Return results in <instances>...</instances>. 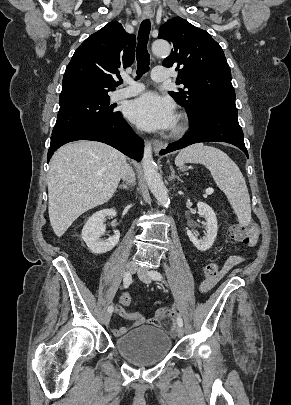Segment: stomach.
Returning a JSON list of instances; mask_svg holds the SVG:
<instances>
[{"label":"stomach","mask_w":291,"mask_h":405,"mask_svg":"<svg viewBox=\"0 0 291 405\" xmlns=\"http://www.w3.org/2000/svg\"><path fill=\"white\" fill-rule=\"evenodd\" d=\"M180 168H181V169H184V167H183V166H181Z\"/></svg>","instance_id":"1"}]
</instances>
